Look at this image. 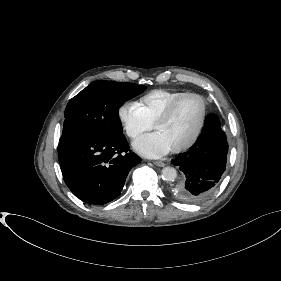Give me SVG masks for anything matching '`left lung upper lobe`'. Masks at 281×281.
I'll return each instance as SVG.
<instances>
[{
    "label": "left lung upper lobe",
    "mask_w": 281,
    "mask_h": 281,
    "mask_svg": "<svg viewBox=\"0 0 281 281\" xmlns=\"http://www.w3.org/2000/svg\"><path fill=\"white\" fill-rule=\"evenodd\" d=\"M211 117L218 118L215 114H211Z\"/></svg>",
    "instance_id": "5c2ea615"
}]
</instances>
